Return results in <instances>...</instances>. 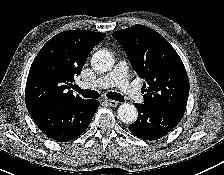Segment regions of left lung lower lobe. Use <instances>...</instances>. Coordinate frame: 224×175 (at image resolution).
I'll use <instances>...</instances> for the list:
<instances>
[{
  "mask_svg": "<svg viewBox=\"0 0 224 175\" xmlns=\"http://www.w3.org/2000/svg\"><path fill=\"white\" fill-rule=\"evenodd\" d=\"M138 118L129 126L130 132L144 140H157L168 134L182 119L184 112L136 104Z\"/></svg>",
  "mask_w": 224,
  "mask_h": 175,
  "instance_id": "0a47b994",
  "label": "left lung lower lobe"
}]
</instances>
